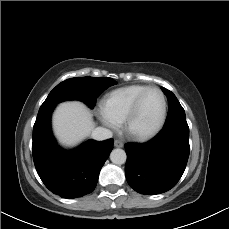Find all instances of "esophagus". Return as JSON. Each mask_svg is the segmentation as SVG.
<instances>
[{
  "label": "esophagus",
  "instance_id": "1",
  "mask_svg": "<svg viewBox=\"0 0 229 229\" xmlns=\"http://www.w3.org/2000/svg\"><path fill=\"white\" fill-rule=\"evenodd\" d=\"M114 146L117 147V148H121L123 147V143L119 140H115L114 141Z\"/></svg>",
  "mask_w": 229,
  "mask_h": 229
}]
</instances>
